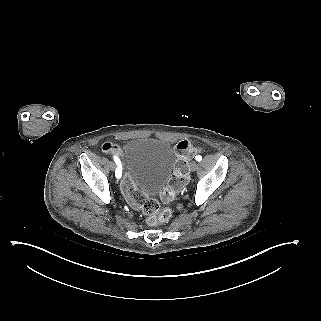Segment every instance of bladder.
<instances>
[{
    "instance_id": "1",
    "label": "bladder",
    "mask_w": 321,
    "mask_h": 321,
    "mask_svg": "<svg viewBox=\"0 0 321 321\" xmlns=\"http://www.w3.org/2000/svg\"><path fill=\"white\" fill-rule=\"evenodd\" d=\"M175 163V151L167 141L138 137L123 148V176L146 197L160 195Z\"/></svg>"
}]
</instances>
